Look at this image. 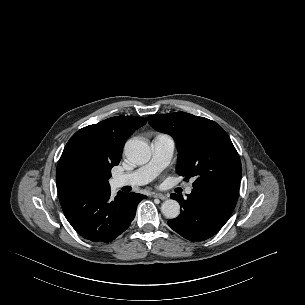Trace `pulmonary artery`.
I'll list each match as a JSON object with an SVG mask.
<instances>
[{
    "mask_svg": "<svg viewBox=\"0 0 305 305\" xmlns=\"http://www.w3.org/2000/svg\"><path fill=\"white\" fill-rule=\"evenodd\" d=\"M175 149L173 138L167 134H158L152 142V159L145 166L127 173H120L113 177L112 185L115 188L123 186H139L150 182L172 159ZM192 186L187 187L190 194Z\"/></svg>",
    "mask_w": 305,
    "mask_h": 305,
    "instance_id": "1",
    "label": "pulmonary artery"
}]
</instances>
